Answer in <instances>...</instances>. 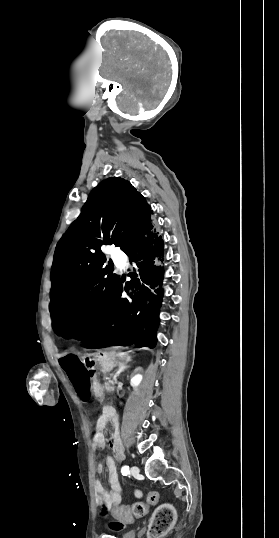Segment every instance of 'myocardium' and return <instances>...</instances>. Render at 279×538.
I'll return each instance as SVG.
<instances>
[{
	"label": "myocardium",
	"instance_id": "1",
	"mask_svg": "<svg viewBox=\"0 0 279 538\" xmlns=\"http://www.w3.org/2000/svg\"><path fill=\"white\" fill-rule=\"evenodd\" d=\"M89 319V312L88 311H82L79 313L75 318V326L80 328L83 327Z\"/></svg>",
	"mask_w": 279,
	"mask_h": 538
}]
</instances>
